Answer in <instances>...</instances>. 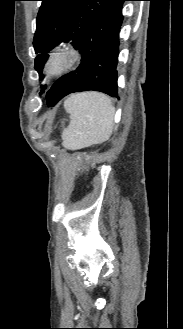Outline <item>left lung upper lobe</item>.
I'll return each instance as SVG.
<instances>
[{"mask_svg":"<svg viewBox=\"0 0 183 329\" xmlns=\"http://www.w3.org/2000/svg\"><path fill=\"white\" fill-rule=\"evenodd\" d=\"M33 46L37 57L35 69L43 80V66L48 53L61 42H71L75 49L91 24L118 0H40ZM46 85L41 89L44 92Z\"/></svg>","mask_w":183,"mask_h":329,"instance_id":"1","label":"left lung upper lobe"}]
</instances>
